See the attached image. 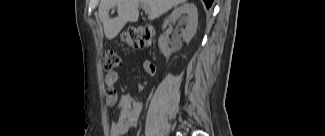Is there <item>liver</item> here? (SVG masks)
Instances as JSON below:
<instances>
[{
  "mask_svg": "<svg viewBox=\"0 0 325 136\" xmlns=\"http://www.w3.org/2000/svg\"><path fill=\"white\" fill-rule=\"evenodd\" d=\"M185 0H101L99 5V18L103 23L107 39L115 38L127 22H136L139 18L138 6L140 3L147 5L148 19L154 20L167 12L172 7L183 3ZM117 6L118 16L109 17V11Z\"/></svg>",
  "mask_w": 325,
  "mask_h": 136,
  "instance_id": "obj_1",
  "label": "liver"
}]
</instances>
